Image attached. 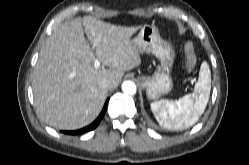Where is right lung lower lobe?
Returning a JSON list of instances; mask_svg holds the SVG:
<instances>
[{
    "label": "right lung lower lobe",
    "mask_w": 249,
    "mask_h": 165,
    "mask_svg": "<svg viewBox=\"0 0 249 165\" xmlns=\"http://www.w3.org/2000/svg\"><path fill=\"white\" fill-rule=\"evenodd\" d=\"M107 104H108V100L106 101L100 115L98 116V118L89 126L79 129V130H75V131H63V133L65 134H70V135H77V134H83L86 133L88 131L93 130L94 128H96L98 126V124L101 122V120L103 119V116L106 112V108H107Z\"/></svg>",
    "instance_id": "1"
}]
</instances>
